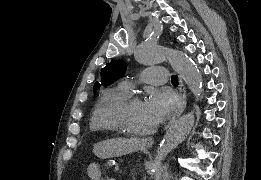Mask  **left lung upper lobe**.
Instances as JSON below:
<instances>
[{
  "mask_svg": "<svg viewBox=\"0 0 261 180\" xmlns=\"http://www.w3.org/2000/svg\"><path fill=\"white\" fill-rule=\"evenodd\" d=\"M126 67L123 61H112L110 64L101 70V82L103 85H108L118 78H120L125 73ZM100 87L99 82L94 84V90H98Z\"/></svg>",
  "mask_w": 261,
  "mask_h": 180,
  "instance_id": "1",
  "label": "left lung upper lobe"
}]
</instances>
